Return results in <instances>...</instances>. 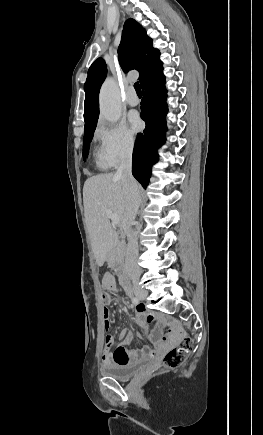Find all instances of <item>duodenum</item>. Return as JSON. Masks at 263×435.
<instances>
[{"label":"duodenum","mask_w":263,"mask_h":435,"mask_svg":"<svg viewBox=\"0 0 263 435\" xmlns=\"http://www.w3.org/2000/svg\"><path fill=\"white\" fill-rule=\"evenodd\" d=\"M120 282H121L122 286L124 287L126 293L128 295H131L132 294V288H131V286L129 284L128 276H127V274L125 272H122L120 274Z\"/></svg>","instance_id":"1"}]
</instances>
